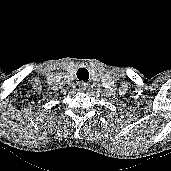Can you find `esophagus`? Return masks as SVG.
Masks as SVG:
<instances>
[{
  "label": "esophagus",
  "instance_id": "34e87169",
  "mask_svg": "<svg viewBox=\"0 0 171 171\" xmlns=\"http://www.w3.org/2000/svg\"><path fill=\"white\" fill-rule=\"evenodd\" d=\"M88 88V83L87 82H80L79 83V90L80 91H85Z\"/></svg>",
  "mask_w": 171,
  "mask_h": 171
}]
</instances>
